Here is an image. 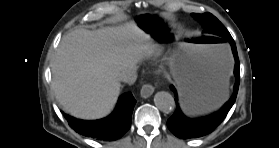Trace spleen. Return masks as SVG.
I'll return each instance as SVG.
<instances>
[{"mask_svg": "<svg viewBox=\"0 0 279 148\" xmlns=\"http://www.w3.org/2000/svg\"><path fill=\"white\" fill-rule=\"evenodd\" d=\"M219 54H221L222 56H224V49H221ZM222 94L223 96L227 97L228 96V80H226L224 86H223V90H222Z\"/></svg>", "mask_w": 279, "mask_h": 148, "instance_id": "spleen-1", "label": "spleen"}]
</instances>
